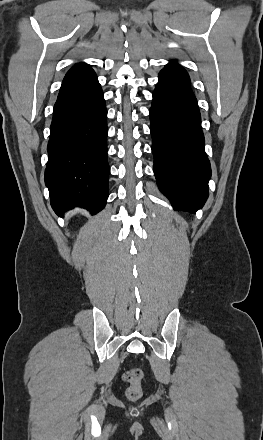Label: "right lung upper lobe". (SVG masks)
<instances>
[{
  "mask_svg": "<svg viewBox=\"0 0 263 440\" xmlns=\"http://www.w3.org/2000/svg\"><path fill=\"white\" fill-rule=\"evenodd\" d=\"M89 70H92V69H91V67L88 64L80 63V64L76 65L75 67L71 68L67 72V74H66V76H65L63 81L71 79V78H73V77H75V76H77V75H79V74H81L83 72L89 71Z\"/></svg>",
  "mask_w": 263,
  "mask_h": 440,
  "instance_id": "cb5924a9",
  "label": "right lung upper lobe"
}]
</instances>
